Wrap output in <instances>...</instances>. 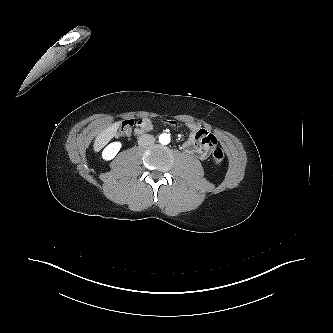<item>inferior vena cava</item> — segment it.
<instances>
[{"mask_svg": "<svg viewBox=\"0 0 333 333\" xmlns=\"http://www.w3.org/2000/svg\"><path fill=\"white\" fill-rule=\"evenodd\" d=\"M154 142H155V138L153 135H150V134H145L138 138V145L140 147L151 146L154 144Z\"/></svg>", "mask_w": 333, "mask_h": 333, "instance_id": "1", "label": "inferior vena cava"}]
</instances>
